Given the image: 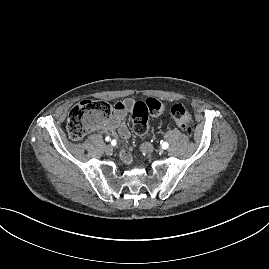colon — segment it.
<instances>
[{"instance_id":"obj_1","label":"colon","mask_w":269,"mask_h":269,"mask_svg":"<svg viewBox=\"0 0 269 269\" xmlns=\"http://www.w3.org/2000/svg\"><path fill=\"white\" fill-rule=\"evenodd\" d=\"M164 107L160 101L149 98L136 102L133 106L132 119L134 132L143 136L148 131L150 115H158ZM171 115L176 124L184 131L191 133L193 118L190 112L182 105L171 107ZM110 114L108 103L99 100H84L73 106L67 119V132L72 140L82 139L89 131L104 124Z\"/></svg>"}]
</instances>
